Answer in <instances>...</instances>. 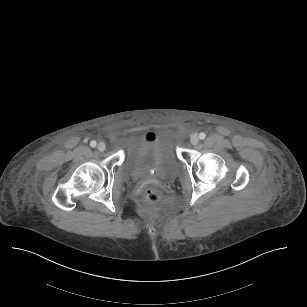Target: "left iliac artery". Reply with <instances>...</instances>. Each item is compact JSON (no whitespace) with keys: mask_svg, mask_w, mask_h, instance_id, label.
<instances>
[{"mask_svg":"<svg viewBox=\"0 0 307 307\" xmlns=\"http://www.w3.org/2000/svg\"><path fill=\"white\" fill-rule=\"evenodd\" d=\"M199 138L202 139V140L205 139L206 138V134L204 132H201L199 134Z\"/></svg>","mask_w":307,"mask_h":307,"instance_id":"1","label":"left iliac artery"}]
</instances>
